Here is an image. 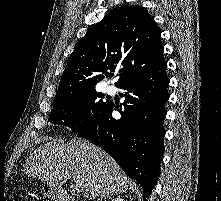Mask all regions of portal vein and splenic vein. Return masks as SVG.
Returning a JSON list of instances; mask_svg holds the SVG:
<instances>
[{
    "label": "portal vein and splenic vein",
    "mask_w": 221,
    "mask_h": 201,
    "mask_svg": "<svg viewBox=\"0 0 221 201\" xmlns=\"http://www.w3.org/2000/svg\"><path fill=\"white\" fill-rule=\"evenodd\" d=\"M71 187L75 192L83 191V184L79 180H74V183L71 185Z\"/></svg>",
    "instance_id": "18ae733b"
}]
</instances>
